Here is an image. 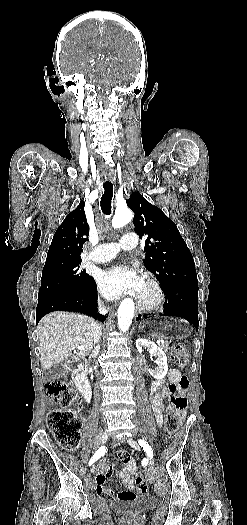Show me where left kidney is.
<instances>
[{
    "label": "left kidney",
    "instance_id": "1",
    "mask_svg": "<svg viewBox=\"0 0 247 525\" xmlns=\"http://www.w3.org/2000/svg\"><path fill=\"white\" fill-rule=\"evenodd\" d=\"M136 347L139 353H142V349L145 347V349H147L151 355H154L156 359L155 363L158 365V369L157 371H151L150 375H152V377H157L156 373H161V377H165L168 371V365L167 357L164 351H162L160 347H157L153 341H148V339H137Z\"/></svg>",
    "mask_w": 247,
    "mask_h": 525
}]
</instances>
